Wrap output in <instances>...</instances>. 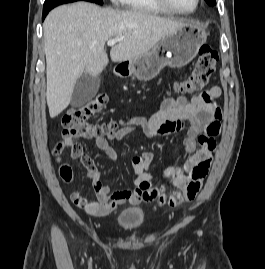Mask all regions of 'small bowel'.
Listing matches in <instances>:
<instances>
[{"mask_svg":"<svg viewBox=\"0 0 265 269\" xmlns=\"http://www.w3.org/2000/svg\"><path fill=\"white\" fill-rule=\"evenodd\" d=\"M220 94V88L212 86L191 99L166 98L160 109L148 120L138 118L122 122V128L118 132L95 137V145L106 158L116 161L118 155L111 146V141L122 140L136 130L143 131L148 137L166 136L184 130V124L187 122L183 144L189 160L184 168L165 172L166 180L179 187L186 196L191 185L200 189L208 175L216 148L215 135L208 134V129L213 122H218L220 126L221 110L215 103ZM70 150L72 158L78 160L86 169L96 194V201H89L80 191L71 194L73 204L86 213L106 216L121 205H138L152 200L148 194L152 182L148 171L153 160L151 152L143 151L132 159L136 174L133 189L111 191L102 183L101 171L92 158L83 153L82 146L75 141Z\"/></svg>","mask_w":265,"mask_h":269,"instance_id":"c3829d8e","label":"small bowel"}]
</instances>
